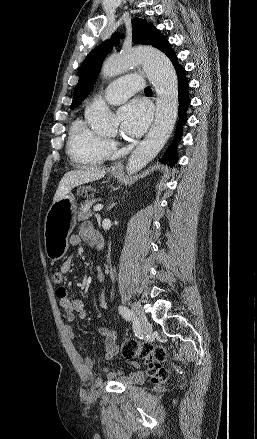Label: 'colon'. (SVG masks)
Segmentation results:
<instances>
[{
	"mask_svg": "<svg viewBox=\"0 0 257 439\" xmlns=\"http://www.w3.org/2000/svg\"><path fill=\"white\" fill-rule=\"evenodd\" d=\"M63 277L60 272H56L53 280L55 283L60 284ZM121 354L127 359L135 356L144 359L147 363V377L152 383L160 384L167 380L168 370L165 366L167 353L162 347L126 339L121 345Z\"/></svg>",
	"mask_w": 257,
	"mask_h": 439,
	"instance_id": "obj_1",
	"label": "colon"
}]
</instances>
